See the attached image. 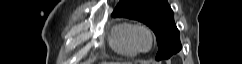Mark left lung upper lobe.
I'll list each match as a JSON object with an SVG mask.
<instances>
[{
	"label": "left lung upper lobe",
	"mask_w": 242,
	"mask_h": 64,
	"mask_svg": "<svg viewBox=\"0 0 242 64\" xmlns=\"http://www.w3.org/2000/svg\"><path fill=\"white\" fill-rule=\"evenodd\" d=\"M112 16L135 19L148 25L157 38L156 60L168 59L181 49L179 30L167 0H120Z\"/></svg>",
	"instance_id": "1"
}]
</instances>
